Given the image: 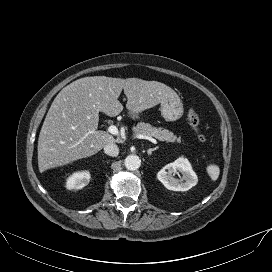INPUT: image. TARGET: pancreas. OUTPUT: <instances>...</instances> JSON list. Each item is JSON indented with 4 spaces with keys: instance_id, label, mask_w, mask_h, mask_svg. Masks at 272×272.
Instances as JSON below:
<instances>
[{
    "instance_id": "pancreas-1",
    "label": "pancreas",
    "mask_w": 272,
    "mask_h": 272,
    "mask_svg": "<svg viewBox=\"0 0 272 272\" xmlns=\"http://www.w3.org/2000/svg\"><path fill=\"white\" fill-rule=\"evenodd\" d=\"M133 132L136 134L154 137L162 142H182L181 137H177L173 132L167 129L153 127L152 125L144 122L138 123L135 127H133Z\"/></svg>"
}]
</instances>
